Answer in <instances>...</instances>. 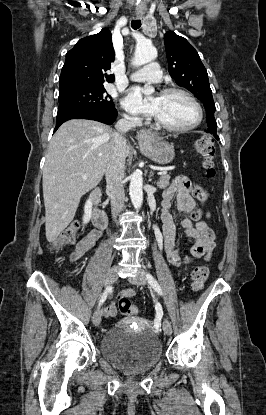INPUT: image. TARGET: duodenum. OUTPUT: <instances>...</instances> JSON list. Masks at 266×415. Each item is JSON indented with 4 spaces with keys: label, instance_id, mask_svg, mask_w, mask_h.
Returning <instances> with one entry per match:
<instances>
[{
    "label": "duodenum",
    "instance_id": "duodenum-1",
    "mask_svg": "<svg viewBox=\"0 0 266 415\" xmlns=\"http://www.w3.org/2000/svg\"><path fill=\"white\" fill-rule=\"evenodd\" d=\"M101 197V191L99 189L94 190L90 195V213L93 224L100 229H104L107 226L108 218L107 214L99 208L98 204Z\"/></svg>",
    "mask_w": 266,
    "mask_h": 415
}]
</instances>
